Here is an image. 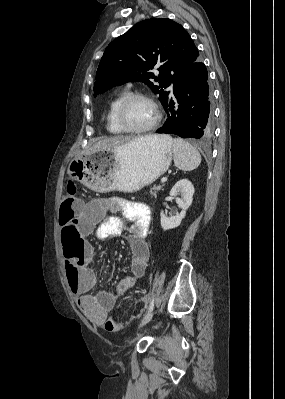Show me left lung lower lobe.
Returning a JSON list of instances; mask_svg holds the SVG:
<instances>
[{
  "label": "left lung lower lobe",
  "mask_w": 285,
  "mask_h": 399,
  "mask_svg": "<svg viewBox=\"0 0 285 399\" xmlns=\"http://www.w3.org/2000/svg\"><path fill=\"white\" fill-rule=\"evenodd\" d=\"M173 98L165 103L167 120L157 133L205 140L213 133L212 93L208 72L199 56L173 81Z\"/></svg>",
  "instance_id": "1"
}]
</instances>
